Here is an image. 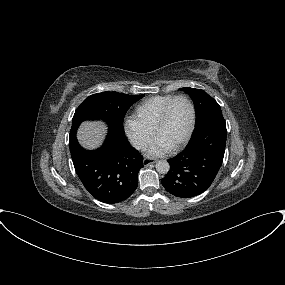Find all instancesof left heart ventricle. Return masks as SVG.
Segmentation results:
<instances>
[{"label": "left heart ventricle", "mask_w": 285, "mask_h": 285, "mask_svg": "<svg viewBox=\"0 0 285 285\" xmlns=\"http://www.w3.org/2000/svg\"><path fill=\"white\" fill-rule=\"evenodd\" d=\"M191 120L189 105L179 99L173 103L168 117L157 133V137L164 140L171 147L178 144L186 135Z\"/></svg>", "instance_id": "obj_1"}]
</instances>
